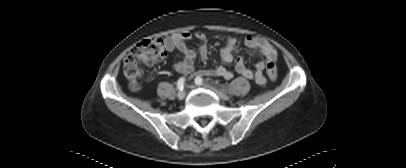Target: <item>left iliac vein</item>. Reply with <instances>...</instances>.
Listing matches in <instances>:
<instances>
[{
	"label": "left iliac vein",
	"instance_id": "4c4485c4",
	"mask_svg": "<svg viewBox=\"0 0 406 168\" xmlns=\"http://www.w3.org/2000/svg\"><path fill=\"white\" fill-rule=\"evenodd\" d=\"M204 87L209 88V86L205 85ZM217 95L221 98H226V95H224L223 93H220L218 91H216Z\"/></svg>",
	"mask_w": 406,
	"mask_h": 168
}]
</instances>
